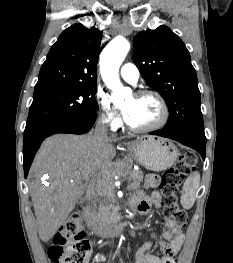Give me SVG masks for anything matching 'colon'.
<instances>
[{"label":"colon","instance_id":"5ec220e1","mask_svg":"<svg viewBox=\"0 0 233 263\" xmlns=\"http://www.w3.org/2000/svg\"><path fill=\"white\" fill-rule=\"evenodd\" d=\"M195 163L194 153H182L176 165L161 177L163 215L180 228L187 225V214L178 204L177 192ZM92 249L93 243L85 237L83 216L81 212L76 211L70 214L55 235L48 255L51 263H92Z\"/></svg>","mask_w":233,"mask_h":263}]
</instances>
